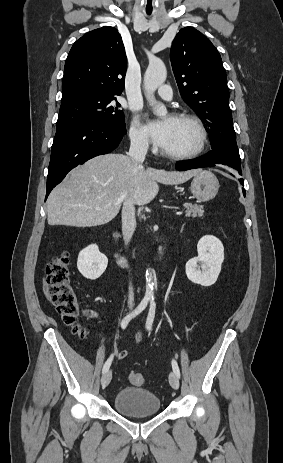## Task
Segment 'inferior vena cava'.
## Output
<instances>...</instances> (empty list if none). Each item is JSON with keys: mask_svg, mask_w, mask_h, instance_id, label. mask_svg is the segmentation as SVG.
Instances as JSON below:
<instances>
[{"mask_svg": "<svg viewBox=\"0 0 283 463\" xmlns=\"http://www.w3.org/2000/svg\"><path fill=\"white\" fill-rule=\"evenodd\" d=\"M147 150V139L143 137H134L131 139L128 155L137 165L140 166L145 160ZM134 204L133 198L130 195L125 194L122 208V233L126 245L130 242L136 228ZM128 305L129 308H133L134 306V292L131 284L129 286Z\"/></svg>", "mask_w": 283, "mask_h": 463, "instance_id": "inferior-vena-cava-1", "label": "inferior vena cava"}]
</instances>
